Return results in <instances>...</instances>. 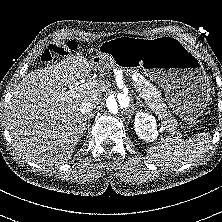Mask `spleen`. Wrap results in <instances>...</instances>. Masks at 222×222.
Instances as JSON below:
<instances>
[{"label": "spleen", "mask_w": 222, "mask_h": 222, "mask_svg": "<svg viewBox=\"0 0 222 222\" xmlns=\"http://www.w3.org/2000/svg\"><path fill=\"white\" fill-rule=\"evenodd\" d=\"M209 142V135L205 133L186 141L161 137L156 146L149 148L147 158L160 165L181 166L203 157L208 151Z\"/></svg>", "instance_id": "spleen-1"}]
</instances>
